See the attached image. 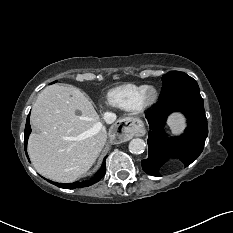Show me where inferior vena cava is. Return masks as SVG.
I'll use <instances>...</instances> for the list:
<instances>
[{"label": "inferior vena cava", "mask_w": 233, "mask_h": 233, "mask_svg": "<svg viewBox=\"0 0 233 233\" xmlns=\"http://www.w3.org/2000/svg\"><path fill=\"white\" fill-rule=\"evenodd\" d=\"M103 119L107 124H112L116 120V115L114 113L106 112L103 114ZM102 134L106 137L105 128L102 129Z\"/></svg>", "instance_id": "602c4592"}]
</instances>
